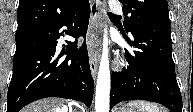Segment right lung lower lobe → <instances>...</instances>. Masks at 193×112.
Wrapping results in <instances>:
<instances>
[{"label":"right lung lower lobe","mask_w":193,"mask_h":112,"mask_svg":"<svg viewBox=\"0 0 193 112\" xmlns=\"http://www.w3.org/2000/svg\"><path fill=\"white\" fill-rule=\"evenodd\" d=\"M90 16L89 1L78 10L27 37L16 40L13 75L7 95V112H18L29 103L45 97H61L91 105L94 81L86 44L68 42L57 55L56 46L62 26H70L69 35L85 36ZM67 54L63 58V54Z\"/></svg>","instance_id":"98d812e1"}]
</instances>
